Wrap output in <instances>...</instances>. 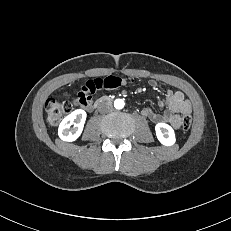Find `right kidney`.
<instances>
[{"mask_svg":"<svg viewBox=\"0 0 231 231\" xmlns=\"http://www.w3.org/2000/svg\"><path fill=\"white\" fill-rule=\"evenodd\" d=\"M85 120L86 112L82 109H77L66 116L58 128L60 139L67 142L75 141L82 133Z\"/></svg>","mask_w":231,"mask_h":231,"instance_id":"obj_1","label":"right kidney"}]
</instances>
